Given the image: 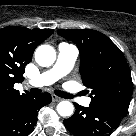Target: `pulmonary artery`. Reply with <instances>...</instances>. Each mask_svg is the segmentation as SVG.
<instances>
[{"label":"pulmonary artery","mask_w":136,"mask_h":136,"mask_svg":"<svg viewBox=\"0 0 136 136\" xmlns=\"http://www.w3.org/2000/svg\"><path fill=\"white\" fill-rule=\"evenodd\" d=\"M77 56L78 49L74 45L68 43H60L58 47L57 60L53 67L29 81V85L33 87H42L45 85L53 84L71 71ZM78 101L82 105L88 106L91 102V98H79Z\"/></svg>","instance_id":"obj_1"}]
</instances>
